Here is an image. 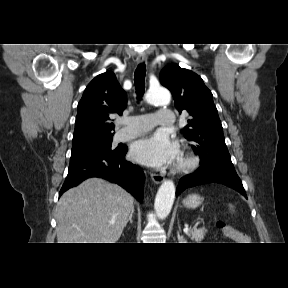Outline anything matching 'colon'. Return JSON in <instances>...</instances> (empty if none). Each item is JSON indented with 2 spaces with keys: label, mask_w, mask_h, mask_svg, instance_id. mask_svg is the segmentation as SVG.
<instances>
[{
  "label": "colon",
  "mask_w": 288,
  "mask_h": 288,
  "mask_svg": "<svg viewBox=\"0 0 288 288\" xmlns=\"http://www.w3.org/2000/svg\"><path fill=\"white\" fill-rule=\"evenodd\" d=\"M217 226L226 239L230 241H239L242 239V234L225 221H218Z\"/></svg>",
  "instance_id": "1"
}]
</instances>
